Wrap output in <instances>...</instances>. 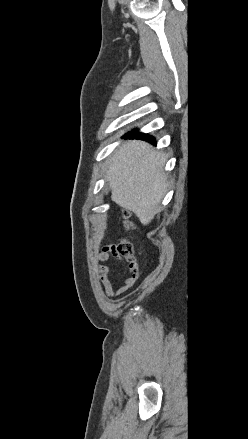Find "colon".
<instances>
[{
  "label": "colon",
  "instance_id": "obj_1",
  "mask_svg": "<svg viewBox=\"0 0 248 439\" xmlns=\"http://www.w3.org/2000/svg\"><path fill=\"white\" fill-rule=\"evenodd\" d=\"M128 213H125V216L128 217ZM128 227H131V224H127ZM119 253L131 264H137L135 260V250L133 245L128 241H122L117 246Z\"/></svg>",
  "mask_w": 248,
  "mask_h": 439
}]
</instances>
